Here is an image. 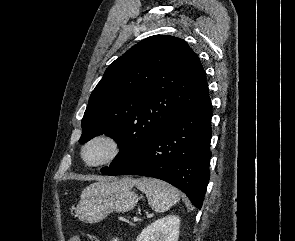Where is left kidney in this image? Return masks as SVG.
<instances>
[{
  "label": "left kidney",
  "mask_w": 295,
  "mask_h": 241,
  "mask_svg": "<svg viewBox=\"0 0 295 241\" xmlns=\"http://www.w3.org/2000/svg\"><path fill=\"white\" fill-rule=\"evenodd\" d=\"M180 218L170 215L147 226L136 241H178Z\"/></svg>",
  "instance_id": "1"
}]
</instances>
